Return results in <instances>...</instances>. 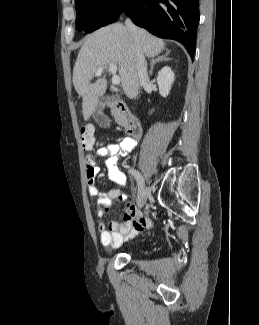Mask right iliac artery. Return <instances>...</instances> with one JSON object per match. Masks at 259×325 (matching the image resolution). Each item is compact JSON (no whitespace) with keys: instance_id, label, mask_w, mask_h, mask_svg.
Instances as JSON below:
<instances>
[{"instance_id":"82829eb1","label":"right iliac artery","mask_w":259,"mask_h":325,"mask_svg":"<svg viewBox=\"0 0 259 325\" xmlns=\"http://www.w3.org/2000/svg\"><path fill=\"white\" fill-rule=\"evenodd\" d=\"M128 172H129L131 175L134 176V178H135V180H136V181H135V182H136V186L139 187V189H138L139 191H138V192L140 193V192H141V191H140V190H141L140 187H141V182H142L141 179H140V178H141V177H140V176H141L140 173H139L138 171H136L135 169H132V168L129 169Z\"/></svg>"}]
</instances>
